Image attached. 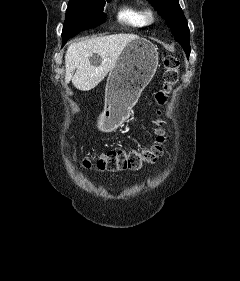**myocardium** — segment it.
<instances>
[{
	"instance_id": "obj_1",
	"label": "myocardium",
	"mask_w": 240,
	"mask_h": 281,
	"mask_svg": "<svg viewBox=\"0 0 240 281\" xmlns=\"http://www.w3.org/2000/svg\"><path fill=\"white\" fill-rule=\"evenodd\" d=\"M143 18L146 24H152L156 20V13L152 8H145L142 11Z\"/></svg>"
}]
</instances>
